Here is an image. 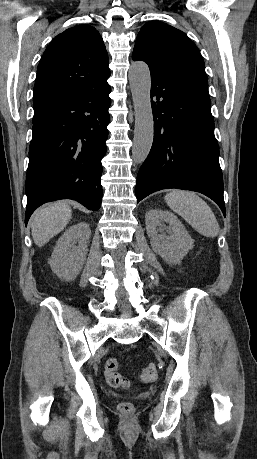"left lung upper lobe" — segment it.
<instances>
[{"mask_svg": "<svg viewBox=\"0 0 257 459\" xmlns=\"http://www.w3.org/2000/svg\"><path fill=\"white\" fill-rule=\"evenodd\" d=\"M132 58L145 61L150 73L158 76L207 79L197 46L185 33L162 22L152 21L142 27Z\"/></svg>", "mask_w": 257, "mask_h": 459, "instance_id": "obj_1", "label": "left lung upper lobe"}]
</instances>
